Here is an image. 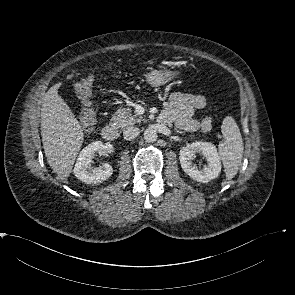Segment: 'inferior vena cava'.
<instances>
[{"instance_id": "602c4592", "label": "inferior vena cava", "mask_w": 295, "mask_h": 295, "mask_svg": "<svg viewBox=\"0 0 295 295\" xmlns=\"http://www.w3.org/2000/svg\"><path fill=\"white\" fill-rule=\"evenodd\" d=\"M139 133H140L139 128L132 126L124 130L123 136H124V139L131 141V140H134L139 135Z\"/></svg>"}]
</instances>
